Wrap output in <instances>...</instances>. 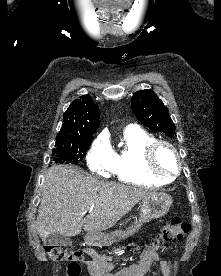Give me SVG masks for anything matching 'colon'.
<instances>
[{"mask_svg": "<svg viewBox=\"0 0 221 276\" xmlns=\"http://www.w3.org/2000/svg\"><path fill=\"white\" fill-rule=\"evenodd\" d=\"M190 230V225L178 217L168 221L157 235L156 244H166L181 240ZM156 246V245H154ZM46 254L54 261L68 263V276H78L80 268L78 261L83 258L81 251H68L60 246L46 245L44 247Z\"/></svg>", "mask_w": 221, "mask_h": 276, "instance_id": "obj_1", "label": "colon"}]
</instances>
